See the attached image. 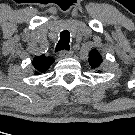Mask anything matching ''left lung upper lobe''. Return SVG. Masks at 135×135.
<instances>
[{
  "mask_svg": "<svg viewBox=\"0 0 135 135\" xmlns=\"http://www.w3.org/2000/svg\"><path fill=\"white\" fill-rule=\"evenodd\" d=\"M102 61V56L98 53L96 49H93L89 52L88 62L92 69L98 68Z\"/></svg>",
  "mask_w": 135,
  "mask_h": 135,
  "instance_id": "obj_1",
  "label": "left lung upper lobe"
}]
</instances>
